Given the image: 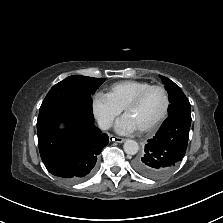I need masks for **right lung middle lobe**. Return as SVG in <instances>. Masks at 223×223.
Segmentation results:
<instances>
[{
  "mask_svg": "<svg viewBox=\"0 0 223 223\" xmlns=\"http://www.w3.org/2000/svg\"><path fill=\"white\" fill-rule=\"evenodd\" d=\"M104 78L73 75L54 85L46 95L40 110L55 103L73 99L92 108L91 96L104 82Z\"/></svg>",
  "mask_w": 223,
  "mask_h": 223,
  "instance_id": "obj_1",
  "label": "right lung middle lobe"
}]
</instances>
